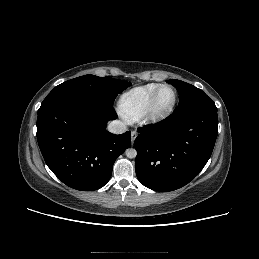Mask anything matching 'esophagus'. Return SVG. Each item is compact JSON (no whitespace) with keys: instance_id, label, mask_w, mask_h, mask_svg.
<instances>
[{"instance_id":"34e87169","label":"esophagus","mask_w":259,"mask_h":259,"mask_svg":"<svg viewBox=\"0 0 259 259\" xmlns=\"http://www.w3.org/2000/svg\"><path fill=\"white\" fill-rule=\"evenodd\" d=\"M136 137H137V132L136 131H132L131 132V142L132 143L135 141Z\"/></svg>"}]
</instances>
